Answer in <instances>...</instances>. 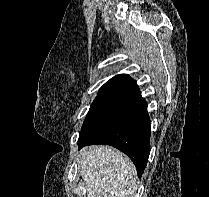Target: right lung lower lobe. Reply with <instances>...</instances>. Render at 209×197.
I'll return each instance as SVG.
<instances>
[{"label":"right lung lower lobe","instance_id":"obj_1","mask_svg":"<svg viewBox=\"0 0 209 197\" xmlns=\"http://www.w3.org/2000/svg\"><path fill=\"white\" fill-rule=\"evenodd\" d=\"M150 132L147 103L139 94L82 129L78 145L80 148L91 144L114 146L132 160L138 176H141L150 153Z\"/></svg>","mask_w":209,"mask_h":197}]
</instances>
